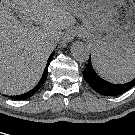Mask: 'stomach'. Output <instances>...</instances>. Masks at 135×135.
Here are the masks:
<instances>
[{"label": "stomach", "instance_id": "obj_1", "mask_svg": "<svg viewBox=\"0 0 135 135\" xmlns=\"http://www.w3.org/2000/svg\"><path fill=\"white\" fill-rule=\"evenodd\" d=\"M83 25L93 57L110 65L135 57L134 0H58Z\"/></svg>", "mask_w": 135, "mask_h": 135}]
</instances>
